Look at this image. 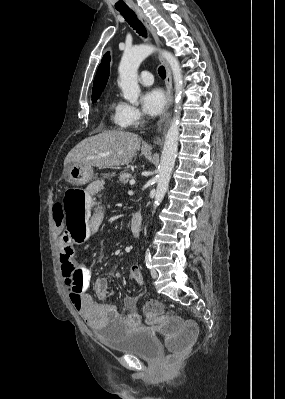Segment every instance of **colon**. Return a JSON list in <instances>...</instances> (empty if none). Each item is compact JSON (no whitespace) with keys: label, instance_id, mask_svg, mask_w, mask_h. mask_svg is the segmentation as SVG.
I'll return each mask as SVG.
<instances>
[{"label":"colon","instance_id":"1","mask_svg":"<svg viewBox=\"0 0 285 399\" xmlns=\"http://www.w3.org/2000/svg\"><path fill=\"white\" fill-rule=\"evenodd\" d=\"M63 211L64 228L69 233L72 243L79 245L92 236L91 223L87 216L86 201L76 191H66L60 203ZM61 269L65 277L66 289L77 306L81 303L83 284L81 279L75 278L76 259L73 247H67L65 254L60 257ZM147 316L159 318L163 316V309L155 299H150L143 307ZM161 335L165 338L167 347L171 352L165 358L166 364L175 362V358L187 353L198 336V327L193 322H184L180 317H165L159 328Z\"/></svg>","mask_w":285,"mask_h":399}]
</instances>
